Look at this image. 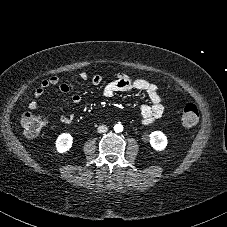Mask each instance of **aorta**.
<instances>
[{
  "mask_svg": "<svg viewBox=\"0 0 227 227\" xmlns=\"http://www.w3.org/2000/svg\"><path fill=\"white\" fill-rule=\"evenodd\" d=\"M114 131H115L116 133L122 132V131H123V126H122L121 124H116V125L114 126Z\"/></svg>",
  "mask_w": 227,
  "mask_h": 227,
  "instance_id": "obj_1",
  "label": "aorta"
}]
</instances>
